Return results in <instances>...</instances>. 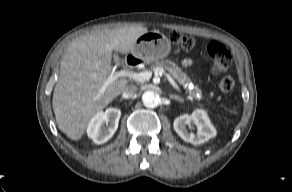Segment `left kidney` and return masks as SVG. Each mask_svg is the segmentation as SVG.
<instances>
[{"instance_id":"obj_1","label":"left kidney","mask_w":292,"mask_h":192,"mask_svg":"<svg viewBox=\"0 0 292 192\" xmlns=\"http://www.w3.org/2000/svg\"><path fill=\"white\" fill-rule=\"evenodd\" d=\"M197 128V133L189 132L187 126ZM176 133L185 141L193 145L203 144L210 138L216 136V129L211 124L206 111L196 109L191 115L184 114L176 118L173 122Z\"/></svg>"}]
</instances>
